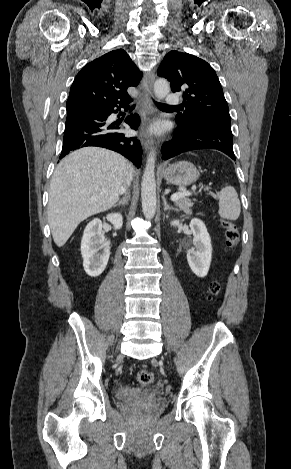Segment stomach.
<instances>
[{
    "label": "stomach",
    "mask_w": 291,
    "mask_h": 469,
    "mask_svg": "<svg viewBox=\"0 0 291 469\" xmlns=\"http://www.w3.org/2000/svg\"><path fill=\"white\" fill-rule=\"evenodd\" d=\"M161 173L169 184L177 186L191 185L199 176L197 168L188 161L168 165L162 169Z\"/></svg>",
    "instance_id": "0dacf381"
}]
</instances>
